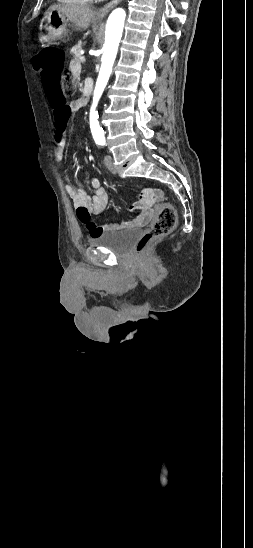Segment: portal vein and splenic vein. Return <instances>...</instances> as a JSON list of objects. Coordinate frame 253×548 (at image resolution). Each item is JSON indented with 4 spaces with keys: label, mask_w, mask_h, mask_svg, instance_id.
Wrapping results in <instances>:
<instances>
[{
    "label": "portal vein and splenic vein",
    "mask_w": 253,
    "mask_h": 548,
    "mask_svg": "<svg viewBox=\"0 0 253 548\" xmlns=\"http://www.w3.org/2000/svg\"><path fill=\"white\" fill-rule=\"evenodd\" d=\"M80 60H81V62H84V61H85V57H84V56H81V57H80Z\"/></svg>",
    "instance_id": "1"
}]
</instances>
